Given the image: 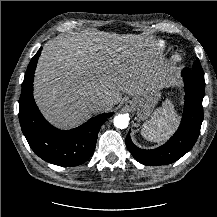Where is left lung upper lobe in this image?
Returning <instances> with one entry per match:
<instances>
[{
	"label": "left lung upper lobe",
	"instance_id": "obj_1",
	"mask_svg": "<svg viewBox=\"0 0 217 217\" xmlns=\"http://www.w3.org/2000/svg\"><path fill=\"white\" fill-rule=\"evenodd\" d=\"M190 71L198 80L205 82L204 81V72H203V69L201 67L199 59H197L194 62L193 67L190 69Z\"/></svg>",
	"mask_w": 217,
	"mask_h": 217
}]
</instances>
